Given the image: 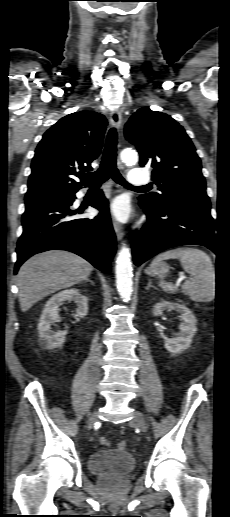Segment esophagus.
I'll return each mask as SVG.
<instances>
[{
	"instance_id": "1",
	"label": "esophagus",
	"mask_w": 230,
	"mask_h": 517,
	"mask_svg": "<svg viewBox=\"0 0 230 517\" xmlns=\"http://www.w3.org/2000/svg\"><path fill=\"white\" fill-rule=\"evenodd\" d=\"M121 123H122L121 113L118 110L112 111L111 115H110L111 126L116 129H119L121 127ZM113 228H114L115 234L117 236V239L122 240V238L124 236V231H123L122 226L117 221L114 220Z\"/></svg>"
}]
</instances>
